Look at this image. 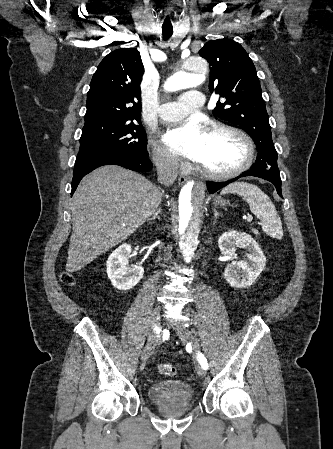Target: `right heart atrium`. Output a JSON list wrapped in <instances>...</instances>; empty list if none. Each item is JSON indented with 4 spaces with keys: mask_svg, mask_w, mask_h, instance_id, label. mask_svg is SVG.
I'll return each mask as SVG.
<instances>
[{
    "mask_svg": "<svg viewBox=\"0 0 333 449\" xmlns=\"http://www.w3.org/2000/svg\"><path fill=\"white\" fill-rule=\"evenodd\" d=\"M152 159L158 169L167 173H178L183 167L176 155L157 144H153Z\"/></svg>",
    "mask_w": 333,
    "mask_h": 449,
    "instance_id": "1",
    "label": "right heart atrium"
}]
</instances>
